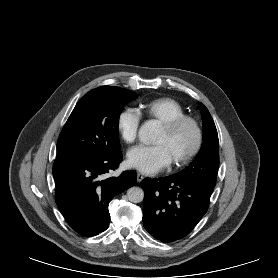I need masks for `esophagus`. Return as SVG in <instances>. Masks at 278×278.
<instances>
[{"label": "esophagus", "mask_w": 278, "mask_h": 278, "mask_svg": "<svg viewBox=\"0 0 278 278\" xmlns=\"http://www.w3.org/2000/svg\"><path fill=\"white\" fill-rule=\"evenodd\" d=\"M144 179V176L141 173L137 174V182L140 183Z\"/></svg>", "instance_id": "1"}]
</instances>
